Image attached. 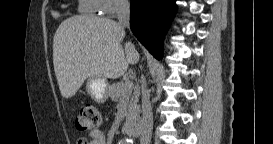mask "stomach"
Segmentation results:
<instances>
[{"mask_svg":"<svg viewBox=\"0 0 273 144\" xmlns=\"http://www.w3.org/2000/svg\"><path fill=\"white\" fill-rule=\"evenodd\" d=\"M109 84L104 77H90L86 82V90L93 100L104 103L108 99Z\"/></svg>","mask_w":273,"mask_h":144,"instance_id":"0dacf381","label":"stomach"}]
</instances>
